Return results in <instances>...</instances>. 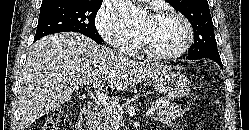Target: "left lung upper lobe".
<instances>
[{
    "instance_id": "left-lung-upper-lobe-1",
    "label": "left lung upper lobe",
    "mask_w": 249,
    "mask_h": 130,
    "mask_svg": "<svg viewBox=\"0 0 249 130\" xmlns=\"http://www.w3.org/2000/svg\"><path fill=\"white\" fill-rule=\"evenodd\" d=\"M191 23L194 31V44L188 56L220 57L214 35L213 22L207 0H167Z\"/></svg>"
}]
</instances>
